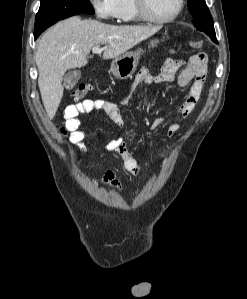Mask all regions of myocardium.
<instances>
[{
	"instance_id": "1",
	"label": "myocardium",
	"mask_w": 247,
	"mask_h": 299,
	"mask_svg": "<svg viewBox=\"0 0 247 299\" xmlns=\"http://www.w3.org/2000/svg\"><path fill=\"white\" fill-rule=\"evenodd\" d=\"M134 3L139 18L155 24H166L174 21L179 17L184 7V0H178L177 8L171 16L167 18H156L149 14L146 0H134Z\"/></svg>"
}]
</instances>
